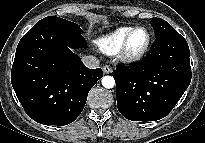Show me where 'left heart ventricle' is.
<instances>
[{
	"mask_svg": "<svg viewBox=\"0 0 205 143\" xmlns=\"http://www.w3.org/2000/svg\"><path fill=\"white\" fill-rule=\"evenodd\" d=\"M147 41V33L144 30L136 31L129 42V50L132 53L140 51Z\"/></svg>",
	"mask_w": 205,
	"mask_h": 143,
	"instance_id": "left-heart-ventricle-1",
	"label": "left heart ventricle"
}]
</instances>
